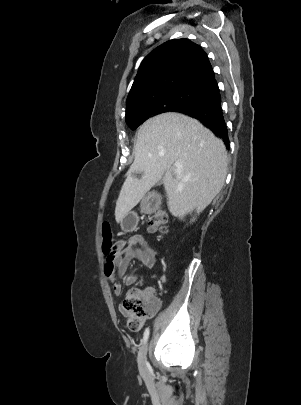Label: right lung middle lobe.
<instances>
[{"label":"right lung middle lobe","instance_id":"obj_1","mask_svg":"<svg viewBox=\"0 0 301 405\" xmlns=\"http://www.w3.org/2000/svg\"><path fill=\"white\" fill-rule=\"evenodd\" d=\"M212 97L210 93L189 87L165 90L137 101L133 108L126 111V122L131 129H136L145 120L157 114L204 103Z\"/></svg>","mask_w":301,"mask_h":405}]
</instances>
